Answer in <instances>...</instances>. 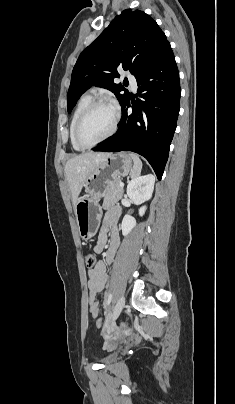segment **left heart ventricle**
Segmentation results:
<instances>
[{"label": "left heart ventricle", "mask_w": 235, "mask_h": 404, "mask_svg": "<svg viewBox=\"0 0 235 404\" xmlns=\"http://www.w3.org/2000/svg\"><path fill=\"white\" fill-rule=\"evenodd\" d=\"M114 111L109 106L94 108L85 118L80 137L86 144H91L105 136L112 127Z\"/></svg>", "instance_id": "1"}]
</instances>
